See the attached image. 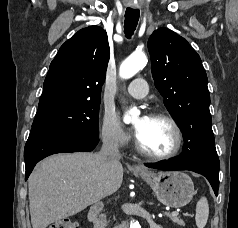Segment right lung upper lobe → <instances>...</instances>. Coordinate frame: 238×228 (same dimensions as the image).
<instances>
[{
	"label": "right lung upper lobe",
	"instance_id": "cb5924a9",
	"mask_svg": "<svg viewBox=\"0 0 238 228\" xmlns=\"http://www.w3.org/2000/svg\"><path fill=\"white\" fill-rule=\"evenodd\" d=\"M109 57L105 30L90 26L78 31L50 64L36 116L81 102L100 101Z\"/></svg>",
	"mask_w": 238,
	"mask_h": 228
}]
</instances>
